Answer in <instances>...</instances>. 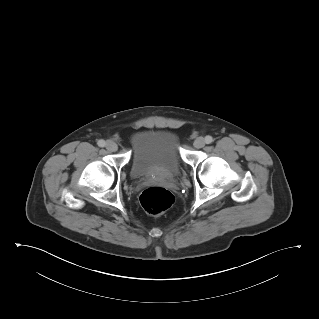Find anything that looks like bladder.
<instances>
[{
  "label": "bladder",
  "instance_id": "bladder-1",
  "mask_svg": "<svg viewBox=\"0 0 319 319\" xmlns=\"http://www.w3.org/2000/svg\"><path fill=\"white\" fill-rule=\"evenodd\" d=\"M183 166L178 135L166 129L138 132L132 144L130 174L138 179L152 173L176 176Z\"/></svg>",
  "mask_w": 319,
  "mask_h": 319
}]
</instances>
